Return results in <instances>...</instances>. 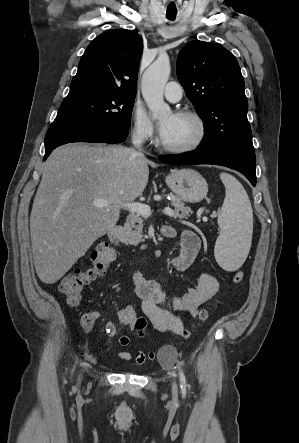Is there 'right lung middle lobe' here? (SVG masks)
<instances>
[{"label": "right lung middle lobe", "mask_w": 299, "mask_h": 443, "mask_svg": "<svg viewBox=\"0 0 299 443\" xmlns=\"http://www.w3.org/2000/svg\"><path fill=\"white\" fill-rule=\"evenodd\" d=\"M135 95L97 88H74L64 99L50 130L118 126L129 130Z\"/></svg>", "instance_id": "1"}]
</instances>
